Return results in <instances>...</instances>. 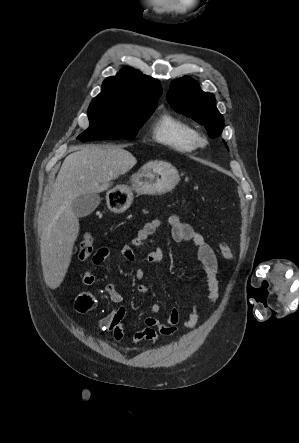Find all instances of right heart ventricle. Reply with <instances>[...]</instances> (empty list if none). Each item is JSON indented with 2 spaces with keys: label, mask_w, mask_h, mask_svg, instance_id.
Listing matches in <instances>:
<instances>
[{
  "label": "right heart ventricle",
  "mask_w": 299,
  "mask_h": 443,
  "mask_svg": "<svg viewBox=\"0 0 299 443\" xmlns=\"http://www.w3.org/2000/svg\"><path fill=\"white\" fill-rule=\"evenodd\" d=\"M197 134L190 123L167 112L158 117L152 130L156 142L180 153H191L198 148Z\"/></svg>",
  "instance_id": "right-heart-ventricle-1"
}]
</instances>
